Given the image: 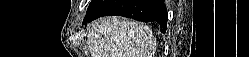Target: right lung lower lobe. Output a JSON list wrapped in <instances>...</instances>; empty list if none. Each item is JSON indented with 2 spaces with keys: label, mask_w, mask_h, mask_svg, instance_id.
Here are the masks:
<instances>
[{
  "label": "right lung lower lobe",
  "mask_w": 249,
  "mask_h": 57,
  "mask_svg": "<svg viewBox=\"0 0 249 57\" xmlns=\"http://www.w3.org/2000/svg\"><path fill=\"white\" fill-rule=\"evenodd\" d=\"M107 15H120L138 21H156L162 32L167 28V9L162 0H92L83 23Z\"/></svg>",
  "instance_id": "1"
}]
</instances>
